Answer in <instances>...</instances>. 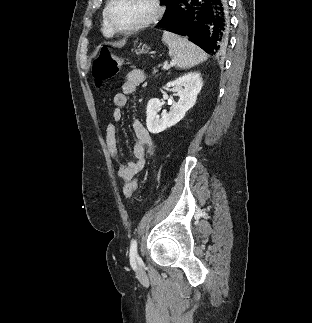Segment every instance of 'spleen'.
Instances as JSON below:
<instances>
[{"instance_id": "spleen-1", "label": "spleen", "mask_w": 312, "mask_h": 323, "mask_svg": "<svg viewBox=\"0 0 312 323\" xmlns=\"http://www.w3.org/2000/svg\"><path fill=\"white\" fill-rule=\"evenodd\" d=\"M162 42L168 44L169 56L174 58V64H176L177 68H182V70H188V68L208 60L207 54L201 48L189 42L187 38L178 36V34H172V32L164 30Z\"/></svg>"}]
</instances>
